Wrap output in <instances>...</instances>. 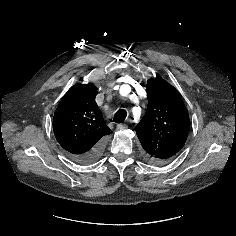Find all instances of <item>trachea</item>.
Returning <instances> with one entry per match:
<instances>
[{
  "label": "trachea",
  "instance_id": "obj_1",
  "mask_svg": "<svg viewBox=\"0 0 236 236\" xmlns=\"http://www.w3.org/2000/svg\"><path fill=\"white\" fill-rule=\"evenodd\" d=\"M126 116H127L126 110L120 109L115 113L113 121L115 123H122L126 119Z\"/></svg>",
  "mask_w": 236,
  "mask_h": 236
}]
</instances>
